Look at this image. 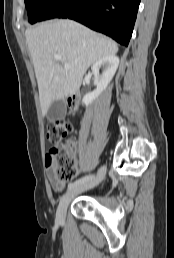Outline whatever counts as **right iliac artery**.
<instances>
[{"instance_id":"82829eb1","label":"right iliac artery","mask_w":174,"mask_h":258,"mask_svg":"<svg viewBox=\"0 0 174 258\" xmlns=\"http://www.w3.org/2000/svg\"><path fill=\"white\" fill-rule=\"evenodd\" d=\"M93 178H94L93 175L82 177V178H80V179H78V180H76V181H74L72 183H69L67 190H71V189H73V188H75V187H77V186H79L81 184H84L85 182H87L89 180H92Z\"/></svg>"}]
</instances>
